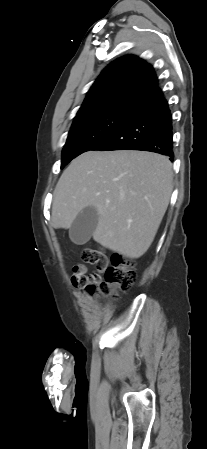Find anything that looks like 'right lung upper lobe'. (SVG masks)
Listing matches in <instances>:
<instances>
[{"label": "right lung upper lobe", "mask_w": 207, "mask_h": 449, "mask_svg": "<svg viewBox=\"0 0 207 449\" xmlns=\"http://www.w3.org/2000/svg\"><path fill=\"white\" fill-rule=\"evenodd\" d=\"M163 96L152 66L129 55L102 71L75 117L113 109L136 112Z\"/></svg>", "instance_id": "right-lung-upper-lobe-1"}]
</instances>
